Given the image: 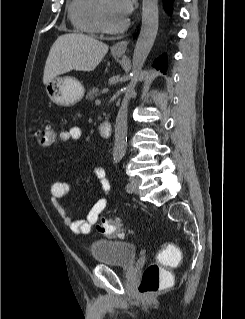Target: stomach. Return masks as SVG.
Here are the masks:
<instances>
[{"instance_id":"1","label":"stomach","mask_w":245,"mask_h":319,"mask_svg":"<svg viewBox=\"0 0 245 319\" xmlns=\"http://www.w3.org/2000/svg\"><path fill=\"white\" fill-rule=\"evenodd\" d=\"M115 56L120 57V54ZM46 93L58 106L69 107L78 103L84 95L82 83L71 76L55 77L46 84Z\"/></svg>"}]
</instances>
